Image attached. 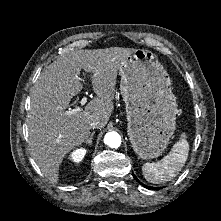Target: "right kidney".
Segmentation results:
<instances>
[{"label": "right kidney", "mask_w": 221, "mask_h": 221, "mask_svg": "<svg viewBox=\"0 0 221 221\" xmlns=\"http://www.w3.org/2000/svg\"><path fill=\"white\" fill-rule=\"evenodd\" d=\"M86 154V149L84 148H79V149H76L75 151H73L70 155V158L76 162V163H79L80 161H82V159L84 158Z\"/></svg>", "instance_id": "1"}]
</instances>
